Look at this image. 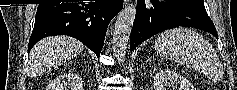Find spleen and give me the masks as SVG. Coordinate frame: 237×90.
I'll return each instance as SVG.
<instances>
[{
    "label": "spleen",
    "instance_id": "spleen-1",
    "mask_svg": "<svg viewBox=\"0 0 237 90\" xmlns=\"http://www.w3.org/2000/svg\"><path fill=\"white\" fill-rule=\"evenodd\" d=\"M155 50L168 60L203 74H213L219 64L217 52L201 34L189 28H173L159 34Z\"/></svg>",
    "mask_w": 237,
    "mask_h": 90
}]
</instances>
